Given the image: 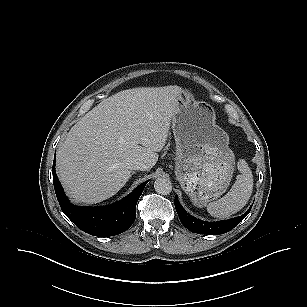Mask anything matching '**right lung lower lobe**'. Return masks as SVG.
Masks as SVG:
<instances>
[{"label":"right lung lower lobe","instance_id":"right-lung-lower-lobe-1","mask_svg":"<svg viewBox=\"0 0 307 307\" xmlns=\"http://www.w3.org/2000/svg\"><path fill=\"white\" fill-rule=\"evenodd\" d=\"M53 162V184L58 202L64 214L82 231L98 237H108L128 230L136 218V204L148 181L140 184L127 197L102 207H79L72 205L64 194L55 173Z\"/></svg>","mask_w":307,"mask_h":307}]
</instances>
